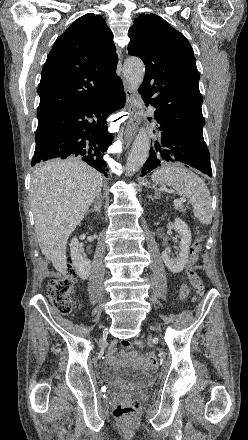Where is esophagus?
I'll return each mask as SVG.
<instances>
[{
    "label": "esophagus",
    "instance_id": "34e87169",
    "mask_svg": "<svg viewBox=\"0 0 248 440\" xmlns=\"http://www.w3.org/2000/svg\"><path fill=\"white\" fill-rule=\"evenodd\" d=\"M126 106L129 114L124 132V138L127 144H130L136 133L139 122L138 100L134 89L125 83Z\"/></svg>",
    "mask_w": 248,
    "mask_h": 440
}]
</instances>
